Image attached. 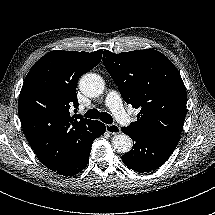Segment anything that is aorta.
<instances>
[{
  "label": "aorta",
  "instance_id": "762f6f07",
  "mask_svg": "<svg viewBox=\"0 0 215 215\" xmlns=\"http://www.w3.org/2000/svg\"><path fill=\"white\" fill-rule=\"evenodd\" d=\"M103 80L95 74H86L80 80V89L88 97H96L103 92ZM113 148L121 154L128 153L132 149V140L125 133H118L113 136Z\"/></svg>",
  "mask_w": 215,
  "mask_h": 215
}]
</instances>
